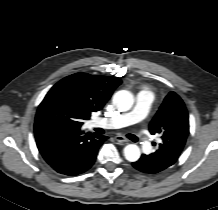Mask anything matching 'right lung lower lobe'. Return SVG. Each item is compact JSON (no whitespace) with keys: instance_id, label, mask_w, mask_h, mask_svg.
Instances as JSON below:
<instances>
[{"instance_id":"obj_1","label":"right lung lower lobe","mask_w":218,"mask_h":210,"mask_svg":"<svg viewBox=\"0 0 218 210\" xmlns=\"http://www.w3.org/2000/svg\"><path fill=\"white\" fill-rule=\"evenodd\" d=\"M35 139L44 160L58 173L75 176L94 164L105 136L86 134L56 122L34 125Z\"/></svg>"}]
</instances>
